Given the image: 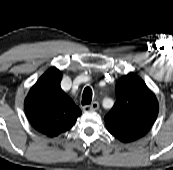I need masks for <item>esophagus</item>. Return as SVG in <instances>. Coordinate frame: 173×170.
<instances>
[{"mask_svg":"<svg viewBox=\"0 0 173 170\" xmlns=\"http://www.w3.org/2000/svg\"><path fill=\"white\" fill-rule=\"evenodd\" d=\"M83 111H96L99 109V103L97 101L92 102L90 105L83 106Z\"/></svg>","mask_w":173,"mask_h":170,"instance_id":"34e87169","label":"esophagus"}]
</instances>
